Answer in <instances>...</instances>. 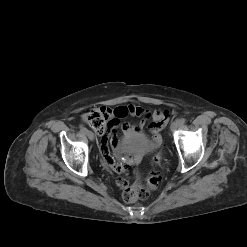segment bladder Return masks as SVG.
<instances>
[{"label":"bladder","instance_id":"1","mask_svg":"<svg viewBox=\"0 0 247 247\" xmlns=\"http://www.w3.org/2000/svg\"><path fill=\"white\" fill-rule=\"evenodd\" d=\"M147 146V138L140 132H132L124 136L121 140V150L123 152H135Z\"/></svg>","mask_w":247,"mask_h":247}]
</instances>
